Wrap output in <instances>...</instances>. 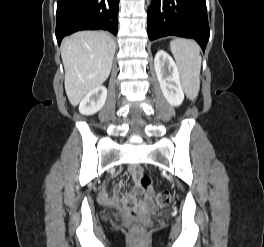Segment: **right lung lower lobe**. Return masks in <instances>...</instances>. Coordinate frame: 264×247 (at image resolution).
I'll return each instance as SVG.
<instances>
[{
    "mask_svg": "<svg viewBox=\"0 0 264 247\" xmlns=\"http://www.w3.org/2000/svg\"><path fill=\"white\" fill-rule=\"evenodd\" d=\"M119 0H59L56 38L62 39L79 30L104 29L118 32Z\"/></svg>",
    "mask_w": 264,
    "mask_h": 247,
    "instance_id": "98d812e1",
    "label": "right lung lower lobe"
}]
</instances>
